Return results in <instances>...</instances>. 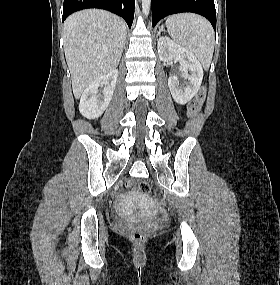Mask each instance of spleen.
Listing matches in <instances>:
<instances>
[{
  "mask_svg": "<svg viewBox=\"0 0 280 285\" xmlns=\"http://www.w3.org/2000/svg\"><path fill=\"white\" fill-rule=\"evenodd\" d=\"M172 39L190 51L204 69H209L214 52L215 35L211 24L191 13L172 15L166 20Z\"/></svg>",
  "mask_w": 280,
  "mask_h": 285,
  "instance_id": "spleen-1",
  "label": "spleen"
}]
</instances>
